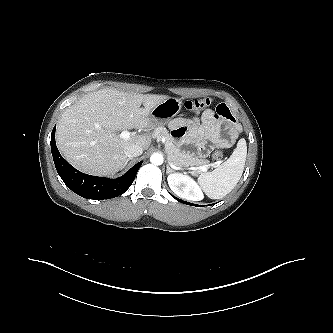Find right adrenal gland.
<instances>
[{"label": "right adrenal gland", "instance_id": "1", "mask_svg": "<svg viewBox=\"0 0 333 333\" xmlns=\"http://www.w3.org/2000/svg\"><path fill=\"white\" fill-rule=\"evenodd\" d=\"M130 160H132V158H128L123 167H125Z\"/></svg>", "mask_w": 333, "mask_h": 333}]
</instances>
